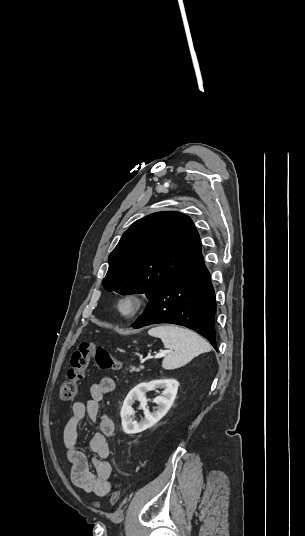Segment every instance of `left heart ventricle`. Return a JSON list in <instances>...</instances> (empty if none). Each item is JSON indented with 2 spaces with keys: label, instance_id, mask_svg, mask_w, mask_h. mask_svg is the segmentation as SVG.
<instances>
[{
  "label": "left heart ventricle",
  "instance_id": "left-heart-ventricle-1",
  "mask_svg": "<svg viewBox=\"0 0 305 536\" xmlns=\"http://www.w3.org/2000/svg\"><path fill=\"white\" fill-rule=\"evenodd\" d=\"M120 306L123 312L128 313L134 308L135 304L132 300H124Z\"/></svg>",
  "mask_w": 305,
  "mask_h": 536
}]
</instances>
